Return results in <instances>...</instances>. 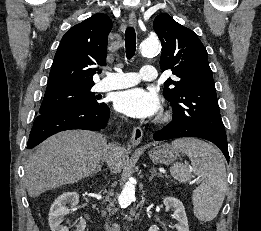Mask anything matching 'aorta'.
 I'll list each match as a JSON object with an SVG mask.
<instances>
[{
	"mask_svg": "<svg viewBox=\"0 0 261 231\" xmlns=\"http://www.w3.org/2000/svg\"><path fill=\"white\" fill-rule=\"evenodd\" d=\"M161 50L160 43L157 40H144L140 44V53L145 57H150L158 54ZM135 197V180L130 178L125 184L122 192L118 198L121 208H126L130 205Z\"/></svg>",
	"mask_w": 261,
	"mask_h": 231,
	"instance_id": "1",
	"label": "aorta"
}]
</instances>
